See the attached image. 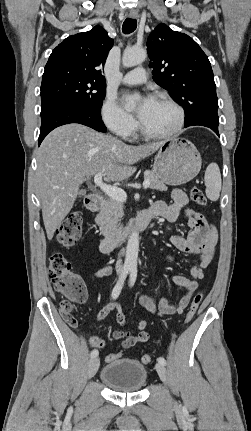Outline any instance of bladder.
<instances>
[{
	"mask_svg": "<svg viewBox=\"0 0 251 431\" xmlns=\"http://www.w3.org/2000/svg\"><path fill=\"white\" fill-rule=\"evenodd\" d=\"M101 381L118 392H137L147 381V370L139 361L120 358L105 365L100 373Z\"/></svg>",
	"mask_w": 251,
	"mask_h": 431,
	"instance_id": "bladder-1",
	"label": "bladder"
}]
</instances>
